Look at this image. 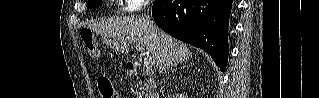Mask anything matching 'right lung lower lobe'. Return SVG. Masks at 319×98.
<instances>
[{
  "label": "right lung lower lobe",
  "mask_w": 319,
  "mask_h": 98,
  "mask_svg": "<svg viewBox=\"0 0 319 98\" xmlns=\"http://www.w3.org/2000/svg\"><path fill=\"white\" fill-rule=\"evenodd\" d=\"M231 7L232 0H155L152 16L166 33L205 50L224 72Z\"/></svg>",
  "instance_id": "right-lung-lower-lobe-1"
}]
</instances>
